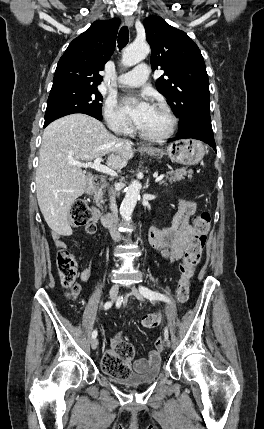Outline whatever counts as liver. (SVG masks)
<instances>
[{
  "instance_id": "liver-1",
  "label": "liver",
  "mask_w": 264,
  "mask_h": 429,
  "mask_svg": "<svg viewBox=\"0 0 264 429\" xmlns=\"http://www.w3.org/2000/svg\"><path fill=\"white\" fill-rule=\"evenodd\" d=\"M106 154V164L119 170L127 165L134 150L131 143L110 134L89 115H67L45 128L36 170V194L44 219L56 234H72L68 213L87 184L81 167L70 161H91Z\"/></svg>"
}]
</instances>
